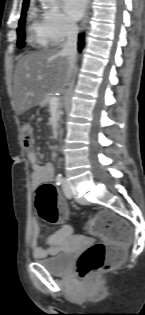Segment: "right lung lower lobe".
<instances>
[{
	"label": "right lung lower lobe",
	"mask_w": 145,
	"mask_h": 315,
	"mask_svg": "<svg viewBox=\"0 0 145 315\" xmlns=\"http://www.w3.org/2000/svg\"><path fill=\"white\" fill-rule=\"evenodd\" d=\"M82 47H83V35L80 34L79 35V51H81Z\"/></svg>",
	"instance_id": "98d812e1"
}]
</instances>
